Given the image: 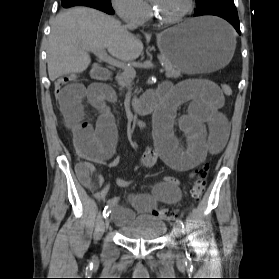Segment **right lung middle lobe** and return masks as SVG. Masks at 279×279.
Listing matches in <instances>:
<instances>
[{
    "mask_svg": "<svg viewBox=\"0 0 279 279\" xmlns=\"http://www.w3.org/2000/svg\"><path fill=\"white\" fill-rule=\"evenodd\" d=\"M102 4H104L105 6L108 7H112L111 6V0H99Z\"/></svg>",
    "mask_w": 279,
    "mask_h": 279,
    "instance_id": "dd1d6c3e",
    "label": "right lung middle lobe"
}]
</instances>
